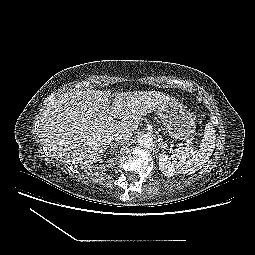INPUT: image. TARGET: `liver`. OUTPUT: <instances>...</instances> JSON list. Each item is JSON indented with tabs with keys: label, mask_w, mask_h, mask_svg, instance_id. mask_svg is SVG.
<instances>
[{
	"label": "liver",
	"mask_w": 255,
	"mask_h": 255,
	"mask_svg": "<svg viewBox=\"0 0 255 255\" xmlns=\"http://www.w3.org/2000/svg\"><path fill=\"white\" fill-rule=\"evenodd\" d=\"M170 100L171 96L159 91L66 92L45 110L39 132L52 156L72 163H95L111 146L116 132L137 130L142 117Z\"/></svg>",
	"instance_id": "liver-1"
}]
</instances>
